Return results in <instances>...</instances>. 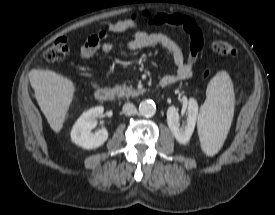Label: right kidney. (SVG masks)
<instances>
[{"instance_id":"obj_1","label":"right kidney","mask_w":275,"mask_h":215,"mask_svg":"<svg viewBox=\"0 0 275 215\" xmlns=\"http://www.w3.org/2000/svg\"><path fill=\"white\" fill-rule=\"evenodd\" d=\"M104 108L97 106L84 112L77 122L74 124L71 131L72 141L85 149H95L104 144L108 138V131L101 129L96 133H92L97 125V118L101 117Z\"/></svg>"}]
</instances>
